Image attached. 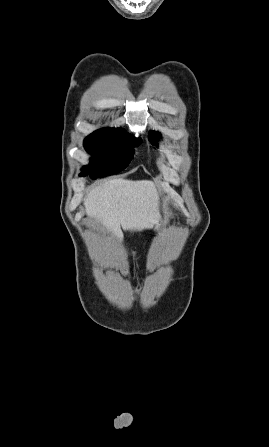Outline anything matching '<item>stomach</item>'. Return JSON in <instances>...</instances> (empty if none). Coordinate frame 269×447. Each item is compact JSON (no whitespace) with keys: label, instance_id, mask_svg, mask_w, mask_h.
Returning a JSON list of instances; mask_svg holds the SVG:
<instances>
[{"label":"stomach","instance_id":"stomach-1","mask_svg":"<svg viewBox=\"0 0 269 447\" xmlns=\"http://www.w3.org/2000/svg\"><path fill=\"white\" fill-rule=\"evenodd\" d=\"M165 224V220L164 218H159V220H157L156 224H155V231H157V229H159V227H162V225Z\"/></svg>","mask_w":269,"mask_h":447}]
</instances>
